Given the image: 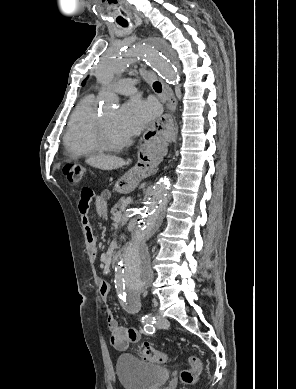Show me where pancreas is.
Instances as JSON below:
<instances>
[{"mask_svg":"<svg viewBox=\"0 0 296 389\" xmlns=\"http://www.w3.org/2000/svg\"><path fill=\"white\" fill-rule=\"evenodd\" d=\"M124 202H125V199H124V198H121V199L115 204V206L111 209V214H112V216H115L116 214L122 212V209H123V207H124Z\"/></svg>","mask_w":296,"mask_h":389,"instance_id":"obj_1","label":"pancreas"}]
</instances>
